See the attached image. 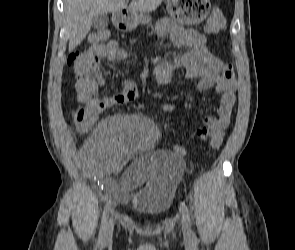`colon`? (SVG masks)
Masks as SVG:
<instances>
[{
    "mask_svg": "<svg viewBox=\"0 0 295 250\" xmlns=\"http://www.w3.org/2000/svg\"><path fill=\"white\" fill-rule=\"evenodd\" d=\"M225 26V17L222 11L219 8H214L206 21L205 29L208 33L216 34L220 32ZM109 38L107 31H97L92 35L91 41L93 45L105 44ZM87 50L82 49L73 54L76 59H83ZM223 77L225 79L234 78L233 66L230 63H227L223 67ZM100 113L98 109L93 105H81L77 106L72 111V120L75 126L82 131L90 130L95 124L97 117ZM216 149V148H215Z\"/></svg>",
    "mask_w": 295,
    "mask_h": 250,
    "instance_id": "5ec220e1",
    "label": "colon"
}]
</instances>
